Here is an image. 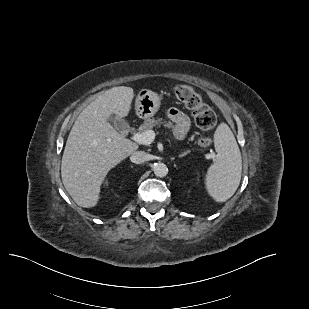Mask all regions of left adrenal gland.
<instances>
[{"label":"left adrenal gland","instance_id":"1","mask_svg":"<svg viewBox=\"0 0 309 309\" xmlns=\"http://www.w3.org/2000/svg\"><path fill=\"white\" fill-rule=\"evenodd\" d=\"M189 152H190V151H186V152L180 154L179 157H183V156L187 155Z\"/></svg>","mask_w":309,"mask_h":309}]
</instances>
